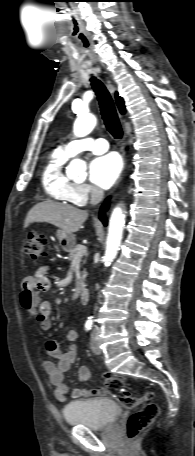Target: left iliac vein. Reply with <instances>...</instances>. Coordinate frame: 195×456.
Masks as SVG:
<instances>
[{"label": "left iliac vein", "instance_id": "1", "mask_svg": "<svg viewBox=\"0 0 195 456\" xmlns=\"http://www.w3.org/2000/svg\"><path fill=\"white\" fill-rule=\"evenodd\" d=\"M90 348L94 354L99 355L102 352L98 346V343L96 342V332L95 331H93V333L91 335Z\"/></svg>", "mask_w": 195, "mask_h": 456}]
</instances>
